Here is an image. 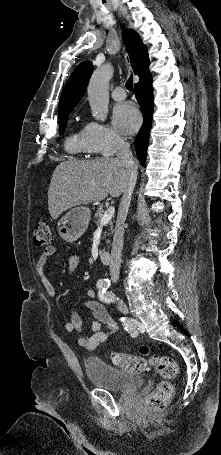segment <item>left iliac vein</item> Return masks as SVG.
I'll use <instances>...</instances> for the list:
<instances>
[{
  "instance_id": "4c4485c4",
  "label": "left iliac vein",
  "mask_w": 221,
  "mask_h": 455,
  "mask_svg": "<svg viewBox=\"0 0 221 455\" xmlns=\"http://www.w3.org/2000/svg\"><path fill=\"white\" fill-rule=\"evenodd\" d=\"M117 307H118V310L124 314H127L128 313V308L126 306V304L122 301V300H118L117 301Z\"/></svg>"
}]
</instances>
